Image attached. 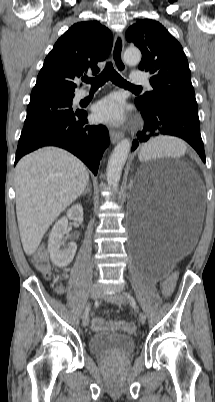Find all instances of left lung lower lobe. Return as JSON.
<instances>
[{"label":"left lung lower lobe","instance_id":"0a47b994","mask_svg":"<svg viewBox=\"0 0 215 402\" xmlns=\"http://www.w3.org/2000/svg\"><path fill=\"white\" fill-rule=\"evenodd\" d=\"M135 104L142 110L144 128L133 140L132 151L155 136L172 135L188 142L203 162L206 161L198 113L169 102H147L136 98Z\"/></svg>","mask_w":215,"mask_h":402}]
</instances>
